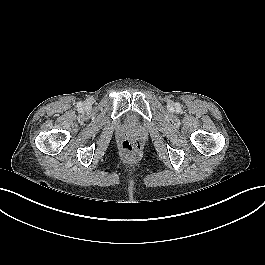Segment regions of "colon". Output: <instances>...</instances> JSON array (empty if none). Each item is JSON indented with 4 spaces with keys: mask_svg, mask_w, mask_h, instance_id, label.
I'll list each match as a JSON object with an SVG mask.
<instances>
[{
    "mask_svg": "<svg viewBox=\"0 0 265 265\" xmlns=\"http://www.w3.org/2000/svg\"><path fill=\"white\" fill-rule=\"evenodd\" d=\"M122 147L129 152H136L140 150L141 143L136 140L135 141L125 140L122 143Z\"/></svg>",
    "mask_w": 265,
    "mask_h": 265,
    "instance_id": "obj_1",
    "label": "colon"
}]
</instances>
